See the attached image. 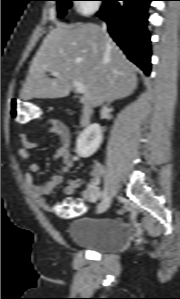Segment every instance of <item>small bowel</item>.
<instances>
[{
  "label": "small bowel",
  "mask_w": 180,
  "mask_h": 299,
  "mask_svg": "<svg viewBox=\"0 0 180 299\" xmlns=\"http://www.w3.org/2000/svg\"><path fill=\"white\" fill-rule=\"evenodd\" d=\"M38 131L45 130L49 134L58 136L59 148L53 155V158L60 162L58 171L50 176L43 184H37L34 179V174L39 171V165L30 162L27 166L28 171L24 175L27 190L35 202L46 212H53L55 208L49 204L45 197L49 195L63 180V174L73 166V158L70 150V133L67 126L58 119L49 118L37 125ZM18 142L23 143V147L19 148L18 155L25 160L30 158L29 149L39 148L41 142L26 141L25 136H18ZM103 168L99 163L92 166V180L87 189L83 192V197L87 201H93L98 196V182L102 174ZM81 186L80 178H70L68 184L64 187L63 193L66 196H72L76 189ZM72 200V199H69Z\"/></svg>",
  "instance_id": "obj_1"
}]
</instances>
